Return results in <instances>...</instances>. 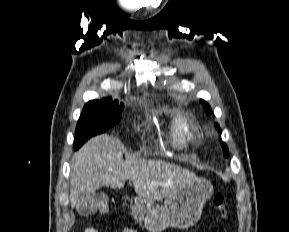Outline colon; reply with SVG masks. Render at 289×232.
I'll return each mask as SVG.
<instances>
[{
  "label": "colon",
  "instance_id": "1",
  "mask_svg": "<svg viewBox=\"0 0 289 232\" xmlns=\"http://www.w3.org/2000/svg\"><path fill=\"white\" fill-rule=\"evenodd\" d=\"M214 204L217 210L220 212L223 218L227 217V211H226V200L223 194L217 193L214 196ZM109 211V205L107 202V199L103 198L101 201V207L100 212L103 214L108 213Z\"/></svg>",
  "mask_w": 289,
  "mask_h": 232
}]
</instances>
